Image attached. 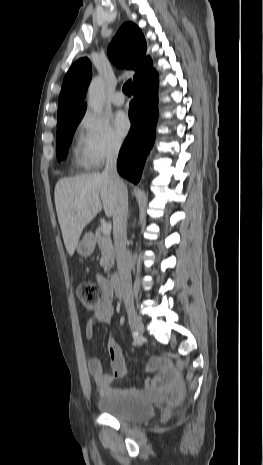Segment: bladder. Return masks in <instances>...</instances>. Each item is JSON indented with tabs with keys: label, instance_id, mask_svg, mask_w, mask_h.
<instances>
[{
	"label": "bladder",
	"instance_id": "1",
	"mask_svg": "<svg viewBox=\"0 0 263 465\" xmlns=\"http://www.w3.org/2000/svg\"><path fill=\"white\" fill-rule=\"evenodd\" d=\"M97 407L104 414L131 423L149 420L155 413L151 403L133 394L102 397L97 401Z\"/></svg>",
	"mask_w": 263,
	"mask_h": 465
}]
</instances>
